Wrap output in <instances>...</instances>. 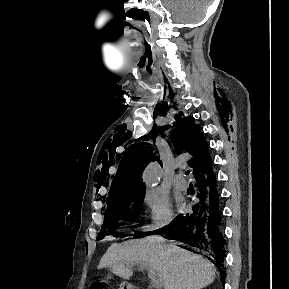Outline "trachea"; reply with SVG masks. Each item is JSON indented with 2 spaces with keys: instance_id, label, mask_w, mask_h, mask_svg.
Returning <instances> with one entry per match:
<instances>
[{
  "instance_id": "1",
  "label": "trachea",
  "mask_w": 289,
  "mask_h": 289,
  "mask_svg": "<svg viewBox=\"0 0 289 289\" xmlns=\"http://www.w3.org/2000/svg\"><path fill=\"white\" fill-rule=\"evenodd\" d=\"M185 174L188 175V174H189V171H186Z\"/></svg>"
}]
</instances>
